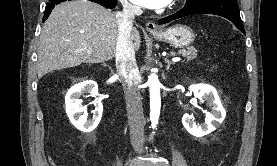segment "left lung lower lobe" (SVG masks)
<instances>
[{"label":"left lung lower lobe","mask_w":277,"mask_h":166,"mask_svg":"<svg viewBox=\"0 0 277 166\" xmlns=\"http://www.w3.org/2000/svg\"><path fill=\"white\" fill-rule=\"evenodd\" d=\"M193 14H214L230 20L243 34L245 30L240 18L236 0H201L193 5L185 6L175 14L159 20L160 24Z\"/></svg>","instance_id":"1"}]
</instances>
